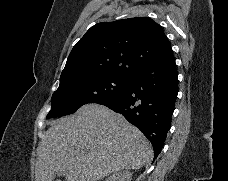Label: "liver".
Instances as JSON below:
<instances>
[{
  "mask_svg": "<svg viewBox=\"0 0 228 181\" xmlns=\"http://www.w3.org/2000/svg\"><path fill=\"white\" fill-rule=\"evenodd\" d=\"M38 149L36 181H100L123 169H141L153 149L123 115L103 105H83L77 113L49 123Z\"/></svg>",
  "mask_w": 228,
  "mask_h": 181,
  "instance_id": "6515ba94",
  "label": "liver"
}]
</instances>
